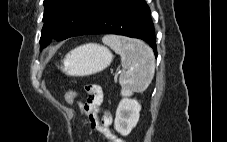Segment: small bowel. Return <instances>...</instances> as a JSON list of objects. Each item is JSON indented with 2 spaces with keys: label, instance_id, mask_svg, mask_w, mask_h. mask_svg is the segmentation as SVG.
I'll use <instances>...</instances> for the list:
<instances>
[{
  "label": "small bowel",
  "instance_id": "obj_1",
  "mask_svg": "<svg viewBox=\"0 0 227 142\" xmlns=\"http://www.w3.org/2000/svg\"><path fill=\"white\" fill-rule=\"evenodd\" d=\"M85 92L89 95V98L85 104L79 103V108L88 119L90 126L102 133L108 142H126L109 129L112 124V115L100 108L103 100L102 89L97 85H89L85 87Z\"/></svg>",
  "mask_w": 227,
  "mask_h": 142
}]
</instances>
